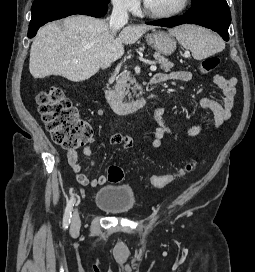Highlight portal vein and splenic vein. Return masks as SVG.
<instances>
[{
    "label": "portal vein and splenic vein",
    "instance_id": "obj_1",
    "mask_svg": "<svg viewBox=\"0 0 255 272\" xmlns=\"http://www.w3.org/2000/svg\"><path fill=\"white\" fill-rule=\"evenodd\" d=\"M156 69H157L156 65L153 64V65L150 66L151 71H156Z\"/></svg>",
    "mask_w": 255,
    "mask_h": 272
}]
</instances>
